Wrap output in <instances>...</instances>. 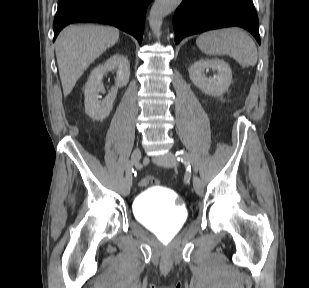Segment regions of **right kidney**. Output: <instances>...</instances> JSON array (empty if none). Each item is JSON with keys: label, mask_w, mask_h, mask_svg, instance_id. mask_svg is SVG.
<instances>
[{"label": "right kidney", "mask_w": 309, "mask_h": 288, "mask_svg": "<svg viewBox=\"0 0 309 288\" xmlns=\"http://www.w3.org/2000/svg\"><path fill=\"white\" fill-rule=\"evenodd\" d=\"M107 71H116L115 86L105 97L99 101V93L105 92L102 83L103 75ZM130 78V64L126 57L114 55L103 65L97 66L90 74L84 87L85 92V112L94 120H103L109 116L116 99L118 88L126 86Z\"/></svg>", "instance_id": "ca27d5eb"}]
</instances>
